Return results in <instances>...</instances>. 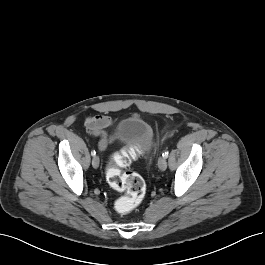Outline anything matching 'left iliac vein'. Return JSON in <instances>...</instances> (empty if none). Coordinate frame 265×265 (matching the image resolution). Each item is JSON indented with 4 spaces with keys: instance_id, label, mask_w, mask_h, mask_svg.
<instances>
[{
    "instance_id": "1",
    "label": "left iliac vein",
    "mask_w": 265,
    "mask_h": 265,
    "mask_svg": "<svg viewBox=\"0 0 265 265\" xmlns=\"http://www.w3.org/2000/svg\"><path fill=\"white\" fill-rule=\"evenodd\" d=\"M158 167L161 171H165L166 168H167V161H166V158L164 157H161L159 158L158 160Z\"/></svg>"
}]
</instances>
